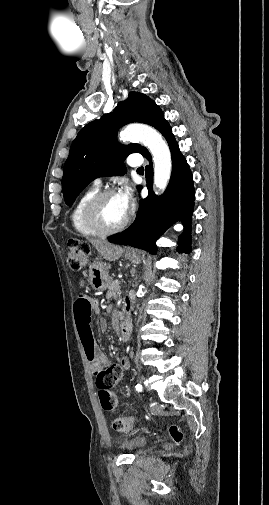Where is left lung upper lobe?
Returning a JSON list of instances; mask_svg holds the SVG:
<instances>
[{"instance_id":"5c2ea615","label":"left lung upper lobe","mask_w":269,"mask_h":505,"mask_svg":"<svg viewBox=\"0 0 269 505\" xmlns=\"http://www.w3.org/2000/svg\"><path fill=\"white\" fill-rule=\"evenodd\" d=\"M164 115L148 96L130 92L114 113L103 115L87 124L74 139L64 165L62 189L65 203L72 205L80 192L95 178L126 172L124 159L131 153L145 155L148 150L139 144L121 145L117 141L119 127L140 122L154 125Z\"/></svg>"}]
</instances>
